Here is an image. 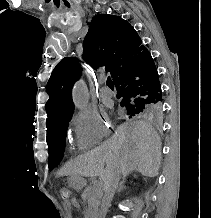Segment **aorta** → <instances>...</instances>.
<instances>
[{
    "label": "aorta",
    "mask_w": 211,
    "mask_h": 218,
    "mask_svg": "<svg viewBox=\"0 0 211 218\" xmlns=\"http://www.w3.org/2000/svg\"><path fill=\"white\" fill-rule=\"evenodd\" d=\"M73 101L77 108L83 109L88 105V90L83 81L78 82L73 90Z\"/></svg>",
    "instance_id": "aorta-1"
}]
</instances>
